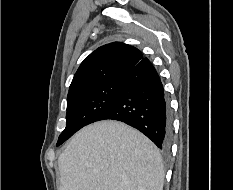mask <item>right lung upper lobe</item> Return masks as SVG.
<instances>
[{
    "label": "right lung upper lobe",
    "instance_id": "right-lung-upper-lobe-1",
    "mask_svg": "<svg viewBox=\"0 0 234 190\" xmlns=\"http://www.w3.org/2000/svg\"><path fill=\"white\" fill-rule=\"evenodd\" d=\"M143 54L135 47L113 42L99 47L84 59L71 82L68 96L125 75L143 59Z\"/></svg>",
    "mask_w": 234,
    "mask_h": 190
}]
</instances>
